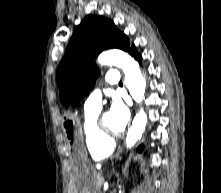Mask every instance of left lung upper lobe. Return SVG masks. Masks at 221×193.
Listing matches in <instances>:
<instances>
[{
  "instance_id": "5c2ea615",
  "label": "left lung upper lobe",
  "mask_w": 221,
  "mask_h": 193,
  "mask_svg": "<svg viewBox=\"0 0 221 193\" xmlns=\"http://www.w3.org/2000/svg\"><path fill=\"white\" fill-rule=\"evenodd\" d=\"M129 41L114 22L89 15L75 28L72 40L57 69L60 99L65 106H76L94 86L99 75L95 59L109 48L128 51Z\"/></svg>"
}]
</instances>
